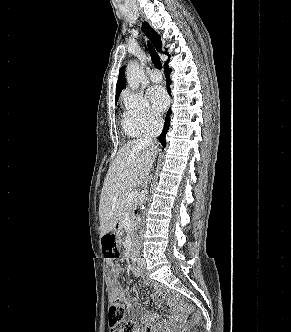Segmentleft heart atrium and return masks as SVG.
Here are the masks:
<instances>
[{"label": "left heart atrium", "instance_id": "left-heart-atrium-1", "mask_svg": "<svg viewBox=\"0 0 291 332\" xmlns=\"http://www.w3.org/2000/svg\"><path fill=\"white\" fill-rule=\"evenodd\" d=\"M147 95L150 102L152 103L154 110L157 113L165 110L168 104V97L163 88L159 86H153L149 88Z\"/></svg>", "mask_w": 291, "mask_h": 332}]
</instances>
